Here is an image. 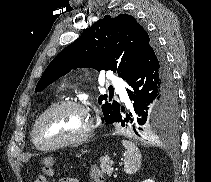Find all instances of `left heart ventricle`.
<instances>
[{"instance_id": "b2bd125f", "label": "left heart ventricle", "mask_w": 211, "mask_h": 182, "mask_svg": "<svg viewBox=\"0 0 211 182\" xmlns=\"http://www.w3.org/2000/svg\"><path fill=\"white\" fill-rule=\"evenodd\" d=\"M88 124L89 117L82 110L63 108L42 122L38 135L42 143L52 144L80 136Z\"/></svg>"}]
</instances>
